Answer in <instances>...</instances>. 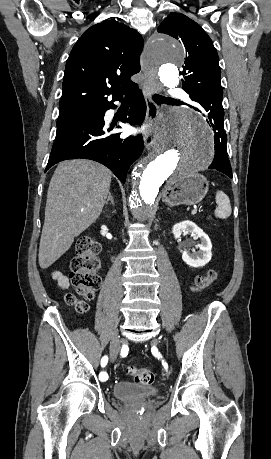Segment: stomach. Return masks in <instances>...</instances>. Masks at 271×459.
Segmentation results:
<instances>
[{
	"label": "stomach",
	"mask_w": 271,
	"mask_h": 459,
	"mask_svg": "<svg viewBox=\"0 0 271 459\" xmlns=\"http://www.w3.org/2000/svg\"><path fill=\"white\" fill-rule=\"evenodd\" d=\"M208 190L209 182L201 174L177 176L173 180H168L162 190V198L163 202L170 206H193L205 198Z\"/></svg>",
	"instance_id": "1"
}]
</instances>
